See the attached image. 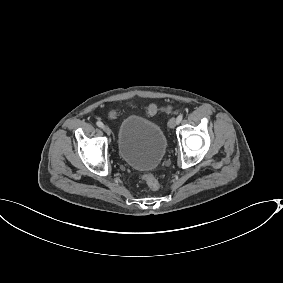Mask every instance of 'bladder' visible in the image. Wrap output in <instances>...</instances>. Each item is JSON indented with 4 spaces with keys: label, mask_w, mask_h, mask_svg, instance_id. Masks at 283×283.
I'll use <instances>...</instances> for the list:
<instances>
[{
    "label": "bladder",
    "mask_w": 283,
    "mask_h": 283,
    "mask_svg": "<svg viewBox=\"0 0 283 283\" xmlns=\"http://www.w3.org/2000/svg\"><path fill=\"white\" fill-rule=\"evenodd\" d=\"M168 141L158 122L132 113L120 123L116 149L120 159L128 166L147 171L160 164Z\"/></svg>",
    "instance_id": "1"
}]
</instances>
